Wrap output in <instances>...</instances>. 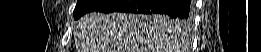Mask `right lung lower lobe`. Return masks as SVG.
I'll return each instance as SVG.
<instances>
[{
	"instance_id": "obj_1",
	"label": "right lung lower lobe",
	"mask_w": 261,
	"mask_h": 52,
	"mask_svg": "<svg viewBox=\"0 0 261 52\" xmlns=\"http://www.w3.org/2000/svg\"><path fill=\"white\" fill-rule=\"evenodd\" d=\"M192 7L190 0H105L92 11L164 14L173 18L188 19Z\"/></svg>"
}]
</instances>
